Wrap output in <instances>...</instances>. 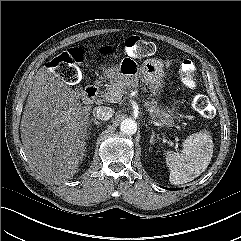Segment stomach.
I'll return each mask as SVG.
<instances>
[{
    "label": "stomach",
    "mask_w": 241,
    "mask_h": 241,
    "mask_svg": "<svg viewBox=\"0 0 241 241\" xmlns=\"http://www.w3.org/2000/svg\"><path fill=\"white\" fill-rule=\"evenodd\" d=\"M163 64L156 59H148L141 66L136 61L124 59L117 70L115 81L124 88L136 87L141 81L148 86L153 95H156L163 85ZM158 116L168 121L169 115L164 110H159Z\"/></svg>",
    "instance_id": "obj_1"
}]
</instances>
